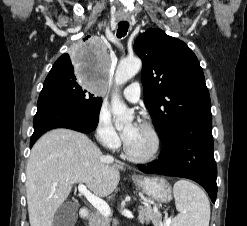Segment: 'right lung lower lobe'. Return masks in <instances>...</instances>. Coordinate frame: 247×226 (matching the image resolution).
<instances>
[{"label": "right lung lower lobe", "mask_w": 247, "mask_h": 226, "mask_svg": "<svg viewBox=\"0 0 247 226\" xmlns=\"http://www.w3.org/2000/svg\"><path fill=\"white\" fill-rule=\"evenodd\" d=\"M98 121L99 114L85 109L54 89L43 88L33 120L34 133L31 137L30 148L48 130L68 128L89 133L95 130Z\"/></svg>", "instance_id": "right-lung-lower-lobe-1"}]
</instances>
